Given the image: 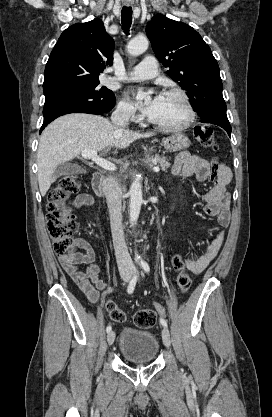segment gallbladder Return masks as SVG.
Here are the masks:
<instances>
[{
	"mask_svg": "<svg viewBox=\"0 0 272 417\" xmlns=\"http://www.w3.org/2000/svg\"><path fill=\"white\" fill-rule=\"evenodd\" d=\"M85 172H86V169L80 165L71 164V163H61L58 165V167L55 170V176L56 177H59L62 175L70 176V175L82 174Z\"/></svg>",
	"mask_w": 272,
	"mask_h": 417,
	"instance_id": "1",
	"label": "gallbladder"
}]
</instances>
